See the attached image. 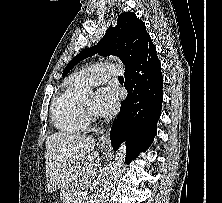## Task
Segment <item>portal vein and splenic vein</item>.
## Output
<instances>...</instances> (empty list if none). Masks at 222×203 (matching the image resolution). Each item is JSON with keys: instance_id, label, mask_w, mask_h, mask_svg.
<instances>
[{"instance_id": "1", "label": "portal vein and splenic vein", "mask_w": 222, "mask_h": 203, "mask_svg": "<svg viewBox=\"0 0 222 203\" xmlns=\"http://www.w3.org/2000/svg\"><path fill=\"white\" fill-rule=\"evenodd\" d=\"M90 184H91V181H87V182L85 183L86 188H88V187L90 186Z\"/></svg>"}]
</instances>
